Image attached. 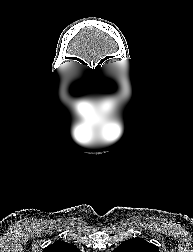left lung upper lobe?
<instances>
[{
    "label": "left lung upper lobe",
    "mask_w": 193,
    "mask_h": 252,
    "mask_svg": "<svg viewBox=\"0 0 193 252\" xmlns=\"http://www.w3.org/2000/svg\"><path fill=\"white\" fill-rule=\"evenodd\" d=\"M113 252H159L158 247L141 238L124 241Z\"/></svg>",
    "instance_id": "obj_1"
}]
</instances>
